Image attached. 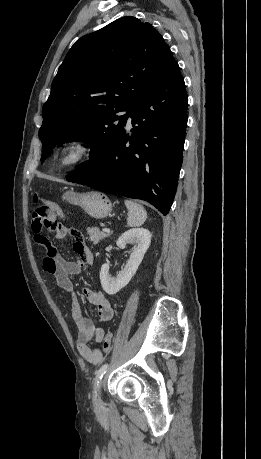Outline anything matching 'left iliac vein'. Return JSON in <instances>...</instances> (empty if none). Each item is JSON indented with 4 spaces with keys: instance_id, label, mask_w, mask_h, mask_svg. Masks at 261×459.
I'll return each mask as SVG.
<instances>
[{
    "instance_id": "left-iliac-vein-1",
    "label": "left iliac vein",
    "mask_w": 261,
    "mask_h": 459,
    "mask_svg": "<svg viewBox=\"0 0 261 459\" xmlns=\"http://www.w3.org/2000/svg\"><path fill=\"white\" fill-rule=\"evenodd\" d=\"M101 387H102V381H100V383H98L95 387L94 404L97 409H100L103 406V401L101 399Z\"/></svg>"
}]
</instances>
